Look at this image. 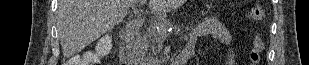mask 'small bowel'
I'll return each mask as SVG.
<instances>
[{"mask_svg":"<svg viewBox=\"0 0 309 65\" xmlns=\"http://www.w3.org/2000/svg\"><path fill=\"white\" fill-rule=\"evenodd\" d=\"M210 35L218 39L221 43L227 45L229 48L228 64H235V53L231 48V36L227 29L218 21V19L211 17L206 19L201 24H198L191 32L185 47L194 48L196 39L198 37Z\"/></svg>","mask_w":309,"mask_h":65,"instance_id":"obj_1","label":"small bowel"}]
</instances>
